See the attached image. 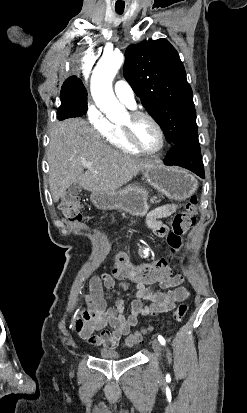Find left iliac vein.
Here are the masks:
<instances>
[{
  "label": "left iliac vein",
  "mask_w": 247,
  "mask_h": 413,
  "mask_svg": "<svg viewBox=\"0 0 247 413\" xmlns=\"http://www.w3.org/2000/svg\"><path fill=\"white\" fill-rule=\"evenodd\" d=\"M151 345H152V349L153 351L159 355L161 353V345L160 342L156 339H152L151 340Z\"/></svg>",
  "instance_id": "4c4485c4"
}]
</instances>
